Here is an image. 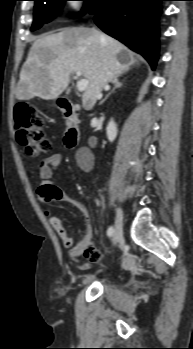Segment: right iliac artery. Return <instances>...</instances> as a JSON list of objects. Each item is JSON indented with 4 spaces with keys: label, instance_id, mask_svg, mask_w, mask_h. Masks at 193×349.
Masks as SVG:
<instances>
[{
    "label": "right iliac artery",
    "instance_id": "82829eb1",
    "mask_svg": "<svg viewBox=\"0 0 193 349\" xmlns=\"http://www.w3.org/2000/svg\"><path fill=\"white\" fill-rule=\"evenodd\" d=\"M113 232H114L113 227H109L108 230H107V235L110 237V236L113 235Z\"/></svg>",
    "mask_w": 193,
    "mask_h": 349
}]
</instances>
